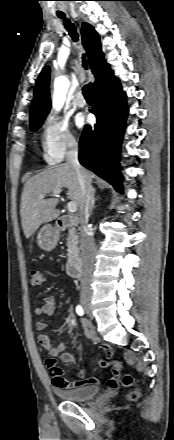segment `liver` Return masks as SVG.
<instances>
[{"instance_id":"6515ba94","label":"liver","mask_w":174,"mask_h":440,"mask_svg":"<svg viewBox=\"0 0 174 440\" xmlns=\"http://www.w3.org/2000/svg\"><path fill=\"white\" fill-rule=\"evenodd\" d=\"M87 174L91 181L92 175L89 172ZM61 188L68 189V198L80 208L82 193L78 175L67 163L44 170L25 183L21 196L20 215L26 238H30L42 223L58 218L60 212L56 206L59 199H41L40 196H46Z\"/></svg>"}]
</instances>
